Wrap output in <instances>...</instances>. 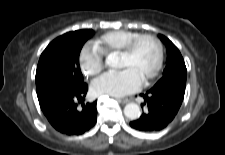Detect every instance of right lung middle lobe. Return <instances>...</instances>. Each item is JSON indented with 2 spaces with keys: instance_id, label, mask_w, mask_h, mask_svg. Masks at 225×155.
Segmentation results:
<instances>
[{
  "instance_id": "right-lung-middle-lobe-1",
  "label": "right lung middle lobe",
  "mask_w": 225,
  "mask_h": 155,
  "mask_svg": "<svg viewBox=\"0 0 225 155\" xmlns=\"http://www.w3.org/2000/svg\"><path fill=\"white\" fill-rule=\"evenodd\" d=\"M93 31H74L53 40L40 56L36 71L38 100L64 85L84 84L79 66V54Z\"/></svg>"
}]
</instances>
